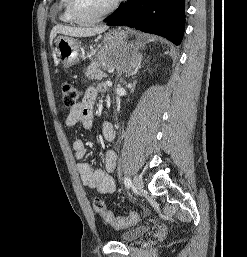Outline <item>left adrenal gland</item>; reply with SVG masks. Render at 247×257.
<instances>
[{
	"mask_svg": "<svg viewBox=\"0 0 247 257\" xmlns=\"http://www.w3.org/2000/svg\"><path fill=\"white\" fill-rule=\"evenodd\" d=\"M141 60H142V56H140V59H139V63L137 65V67L135 68L134 71H132L129 76H132V75H135L137 73V71L141 68Z\"/></svg>",
	"mask_w": 247,
	"mask_h": 257,
	"instance_id": "left-adrenal-gland-1",
	"label": "left adrenal gland"
}]
</instances>
